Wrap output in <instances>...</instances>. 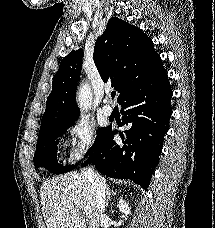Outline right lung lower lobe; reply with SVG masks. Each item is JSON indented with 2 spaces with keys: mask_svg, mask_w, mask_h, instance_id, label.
Wrapping results in <instances>:
<instances>
[{
  "mask_svg": "<svg viewBox=\"0 0 215 228\" xmlns=\"http://www.w3.org/2000/svg\"><path fill=\"white\" fill-rule=\"evenodd\" d=\"M171 97L167 73L156 80L133 84L120 103L123 125L130 126L119 132L122 143L113 140L117 131L109 126L104 140L82 167L91 162L99 172L116 179H130L146 190L168 132Z\"/></svg>",
  "mask_w": 215,
  "mask_h": 228,
  "instance_id": "right-lung-lower-lobe-1",
  "label": "right lung lower lobe"
}]
</instances>
